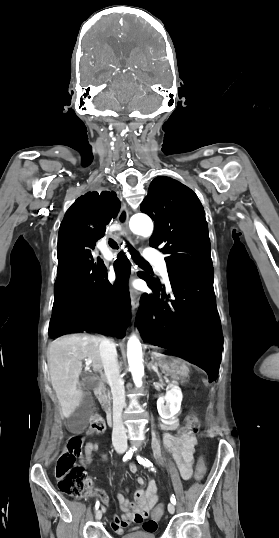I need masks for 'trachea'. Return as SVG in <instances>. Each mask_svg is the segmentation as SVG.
I'll return each mask as SVG.
<instances>
[{"instance_id": "3493384b", "label": "trachea", "mask_w": 279, "mask_h": 538, "mask_svg": "<svg viewBox=\"0 0 279 538\" xmlns=\"http://www.w3.org/2000/svg\"><path fill=\"white\" fill-rule=\"evenodd\" d=\"M108 243L112 248H118L117 243L114 240H112L111 238L109 239ZM128 247H129L128 249H129V252H130L132 258L136 262H138L140 264H147V262L137 253V251L131 245L128 244Z\"/></svg>"}]
</instances>
